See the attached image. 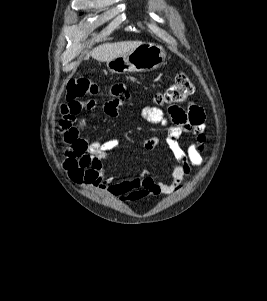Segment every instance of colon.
I'll return each instance as SVG.
<instances>
[{
    "label": "colon",
    "mask_w": 267,
    "mask_h": 301,
    "mask_svg": "<svg viewBox=\"0 0 267 301\" xmlns=\"http://www.w3.org/2000/svg\"><path fill=\"white\" fill-rule=\"evenodd\" d=\"M99 87L88 78L71 80L67 85V100H75L85 96L96 95ZM194 92V86L185 75L177 76L174 83L164 92L155 96L157 103L176 105L184 102Z\"/></svg>",
    "instance_id": "obj_1"
}]
</instances>
